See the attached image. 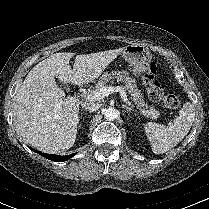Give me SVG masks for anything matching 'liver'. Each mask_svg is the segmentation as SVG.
Wrapping results in <instances>:
<instances>
[{"mask_svg":"<svg viewBox=\"0 0 209 209\" xmlns=\"http://www.w3.org/2000/svg\"><path fill=\"white\" fill-rule=\"evenodd\" d=\"M125 47L76 55L55 53L35 65L14 96V123L26 143L47 153L70 149L76 140L80 101L55 81L86 84L98 78Z\"/></svg>","mask_w":209,"mask_h":209,"instance_id":"obj_1","label":"liver"}]
</instances>
